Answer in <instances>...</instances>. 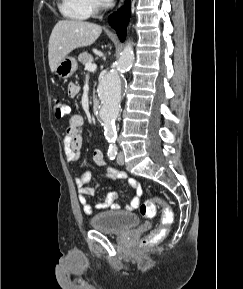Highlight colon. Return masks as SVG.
<instances>
[{
  "instance_id": "colon-1",
  "label": "colon",
  "mask_w": 243,
  "mask_h": 289,
  "mask_svg": "<svg viewBox=\"0 0 243 289\" xmlns=\"http://www.w3.org/2000/svg\"><path fill=\"white\" fill-rule=\"evenodd\" d=\"M53 109L57 118H62L67 114V107L65 103L60 99L56 98L53 102ZM160 205L162 208V219L161 225L155 231L146 235L142 239V246H151L160 240H162L168 233L169 226L173 221V212L170 206L159 196L143 202L139 206V211L144 217H153L156 213V206Z\"/></svg>"
}]
</instances>
